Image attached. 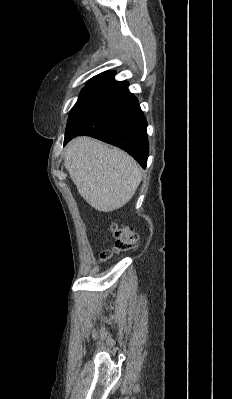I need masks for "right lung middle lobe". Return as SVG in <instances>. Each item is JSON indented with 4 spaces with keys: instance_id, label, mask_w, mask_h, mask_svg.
I'll use <instances>...</instances> for the list:
<instances>
[{
    "instance_id": "1",
    "label": "right lung middle lobe",
    "mask_w": 232,
    "mask_h": 399,
    "mask_svg": "<svg viewBox=\"0 0 232 399\" xmlns=\"http://www.w3.org/2000/svg\"><path fill=\"white\" fill-rule=\"evenodd\" d=\"M96 85H97V84H95V83H93V82H89V83L87 84V86L82 90V93L85 92V91H87L88 89H90V88L96 86Z\"/></svg>"
}]
</instances>
